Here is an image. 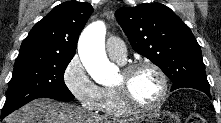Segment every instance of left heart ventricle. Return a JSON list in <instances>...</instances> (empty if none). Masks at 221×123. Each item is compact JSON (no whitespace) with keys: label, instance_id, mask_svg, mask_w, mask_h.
<instances>
[{"label":"left heart ventricle","instance_id":"left-heart-ventricle-1","mask_svg":"<svg viewBox=\"0 0 221 123\" xmlns=\"http://www.w3.org/2000/svg\"><path fill=\"white\" fill-rule=\"evenodd\" d=\"M127 82L132 97L140 104L150 105L157 101L161 93L159 76L150 68H142L127 79L122 72L119 74L115 85Z\"/></svg>","mask_w":221,"mask_h":123}]
</instances>
